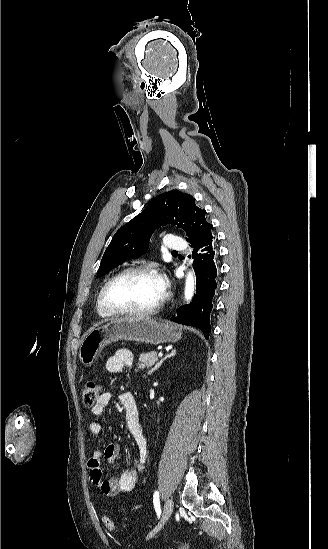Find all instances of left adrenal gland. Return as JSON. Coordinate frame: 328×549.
Here are the masks:
<instances>
[{
	"label": "left adrenal gland",
	"instance_id": "obj_1",
	"mask_svg": "<svg viewBox=\"0 0 328 549\" xmlns=\"http://www.w3.org/2000/svg\"><path fill=\"white\" fill-rule=\"evenodd\" d=\"M176 353V349H172L170 355H166V357H164V359H162V361H160V363H158V365H156V367H154L153 371H157V369H159V367H161L163 361H165V359H169V357H174Z\"/></svg>",
	"mask_w": 328,
	"mask_h": 549
}]
</instances>
